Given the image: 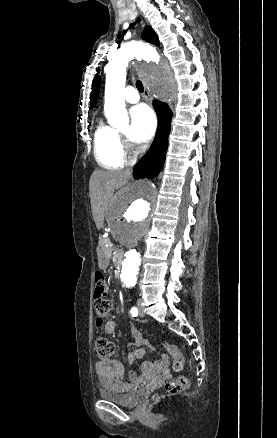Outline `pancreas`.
<instances>
[{
  "mask_svg": "<svg viewBox=\"0 0 277 438\" xmlns=\"http://www.w3.org/2000/svg\"><path fill=\"white\" fill-rule=\"evenodd\" d=\"M112 233L110 231H103L98 238L100 244L97 246L98 253H115L117 247L115 244H110Z\"/></svg>",
  "mask_w": 277,
  "mask_h": 438,
  "instance_id": "obj_1",
  "label": "pancreas"
}]
</instances>
